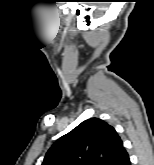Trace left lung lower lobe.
Instances as JSON below:
<instances>
[{
	"label": "left lung lower lobe",
	"mask_w": 154,
	"mask_h": 165,
	"mask_svg": "<svg viewBox=\"0 0 154 165\" xmlns=\"http://www.w3.org/2000/svg\"><path fill=\"white\" fill-rule=\"evenodd\" d=\"M116 165H131L129 156L124 148L120 152V158Z\"/></svg>",
	"instance_id": "0a47b994"
}]
</instances>
